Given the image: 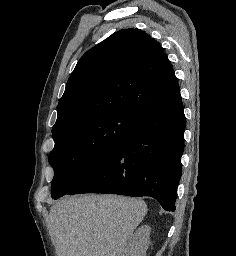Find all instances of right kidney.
<instances>
[{
    "label": "right kidney",
    "mask_w": 236,
    "mask_h": 256,
    "mask_svg": "<svg viewBox=\"0 0 236 256\" xmlns=\"http://www.w3.org/2000/svg\"><path fill=\"white\" fill-rule=\"evenodd\" d=\"M150 226H140L127 246L128 256H146L150 244Z\"/></svg>",
    "instance_id": "1"
}]
</instances>
